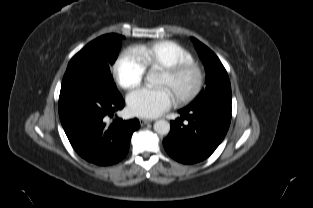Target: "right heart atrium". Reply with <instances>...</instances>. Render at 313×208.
Here are the masks:
<instances>
[{"label":"right heart atrium","mask_w":313,"mask_h":208,"mask_svg":"<svg viewBox=\"0 0 313 208\" xmlns=\"http://www.w3.org/2000/svg\"><path fill=\"white\" fill-rule=\"evenodd\" d=\"M114 75L124 89L138 86L146 72V68L134 50L123 52L114 64Z\"/></svg>","instance_id":"obj_1"}]
</instances>
